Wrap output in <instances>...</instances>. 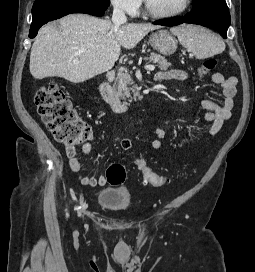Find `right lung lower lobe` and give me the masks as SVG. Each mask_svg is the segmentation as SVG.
<instances>
[{"instance_id": "98d812e1", "label": "right lung lower lobe", "mask_w": 255, "mask_h": 272, "mask_svg": "<svg viewBox=\"0 0 255 272\" xmlns=\"http://www.w3.org/2000/svg\"><path fill=\"white\" fill-rule=\"evenodd\" d=\"M71 13L103 16L105 9L81 0H36L32 7V24L29 37L34 38L45 23Z\"/></svg>"}]
</instances>
